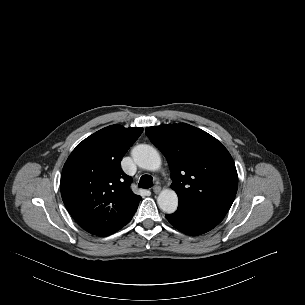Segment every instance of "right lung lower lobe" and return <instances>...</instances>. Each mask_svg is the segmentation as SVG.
<instances>
[{
    "label": "right lung lower lobe",
    "mask_w": 305,
    "mask_h": 305,
    "mask_svg": "<svg viewBox=\"0 0 305 305\" xmlns=\"http://www.w3.org/2000/svg\"><path fill=\"white\" fill-rule=\"evenodd\" d=\"M133 216V215H132ZM132 216H130L127 220H125L124 222L120 223L119 225H117L113 230L106 232V233H102L99 234L98 236H108L110 234L115 233L117 230H119L120 228H122L123 226H125L132 218Z\"/></svg>",
    "instance_id": "right-lung-lower-lobe-1"
}]
</instances>
